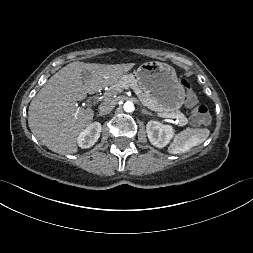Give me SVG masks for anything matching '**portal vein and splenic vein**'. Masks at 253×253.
<instances>
[{"label":"portal vein and splenic vein","instance_id":"portal-vein-and-splenic-vein-1","mask_svg":"<svg viewBox=\"0 0 253 253\" xmlns=\"http://www.w3.org/2000/svg\"><path fill=\"white\" fill-rule=\"evenodd\" d=\"M123 89H128V86L123 84L121 86ZM157 116L162 117V118H173V119H178V116L176 114H165V113H157Z\"/></svg>","mask_w":253,"mask_h":253}]
</instances>
